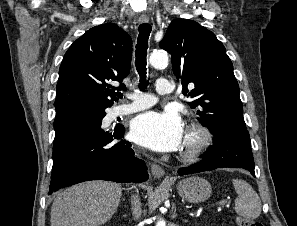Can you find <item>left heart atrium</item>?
<instances>
[{
    "mask_svg": "<svg viewBox=\"0 0 297 226\" xmlns=\"http://www.w3.org/2000/svg\"><path fill=\"white\" fill-rule=\"evenodd\" d=\"M130 136L136 143L154 151L170 152L182 147L185 129L175 112L148 111L133 119Z\"/></svg>",
    "mask_w": 297,
    "mask_h": 226,
    "instance_id": "39dd6f15",
    "label": "left heart atrium"
}]
</instances>
